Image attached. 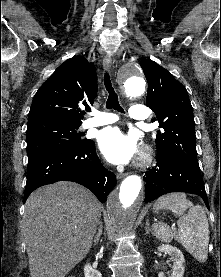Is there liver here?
<instances>
[{"instance_id": "liver-1", "label": "liver", "mask_w": 221, "mask_h": 277, "mask_svg": "<svg viewBox=\"0 0 221 277\" xmlns=\"http://www.w3.org/2000/svg\"><path fill=\"white\" fill-rule=\"evenodd\" d=\"M101 209L97 198L74 182L32 192L23 216L31 277H65L90 251Z\"/></svg>"}]
</instances>
